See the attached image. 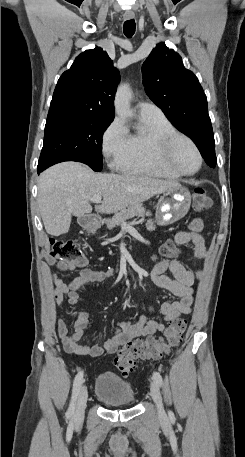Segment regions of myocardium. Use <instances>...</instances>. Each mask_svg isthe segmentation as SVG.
<instances>
[{
	"label": "myocardium",
	"instance_id": "1",
	"mask_svg": "<svg viewBox=\"0 0 245 457\" xmlns=\"http://www.w3.org/2000/svg\"><path fill=\"white\" fill-rule=\"evenodd\" d=\"M180 140H184L188 143L190 149L194 153L197 159V165L194 170L186 172L182 171L170 163L166 162L162 158V151H168L172 149L176 143ZM146 155L148 159L158 168L171 173L176 176H190L195 174L202 165V156L198 151L194 141L187 135L180 132H172L167 135H161L159 133H151L147 136L145 141Z\"/></svg>",
	"mask_w": 245,
	"mask_h": 457
}]
</instances>
